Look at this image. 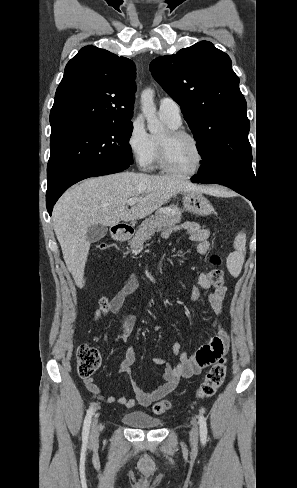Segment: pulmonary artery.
<instances>
[{
    "mask_svg": "<svg viewBox=\"0 0 297 488\" xmlns=\"http://www.w3.org/2000/svg\"><path fill=\"white\" fill-rule=\"evenodd\" d=\"M160 117L174 126L181 124V109L172 98L164 97L159 102Z\"/></svg>",
    "mask_w": 297,
    "mask_h": 488,
    "instance_id": "obj_1",
    "label": "pulmonary artery"
}]
</instances>
